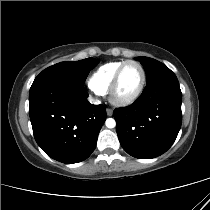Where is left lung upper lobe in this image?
<instances>
[{
  "mask_svg": "<svg viewBox=\"0 0 210 210\" xmlns=\"http://www.w3.org/2000/svg\"><path fill=\"white\" fill-rule=\"evenodd\" d=\"M135 59L144 67L147 76V83L159 76L172 72L166 65L155 59L149 57H136Z\"/></svg>",
  "mask_w": 210,
  "mask_h": 210,
  "instance_id": "1",
  "label": "left lung upper lobe"
}]
</instances>
